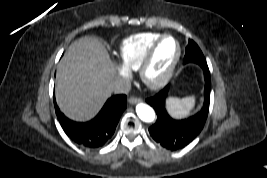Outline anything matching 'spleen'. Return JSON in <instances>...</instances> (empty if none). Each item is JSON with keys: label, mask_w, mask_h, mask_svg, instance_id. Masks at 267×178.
Masks as SVG:
<instances>
[{"label": "spleen", "mask_w": 267, "mask_h": 178, "mask_svg": "<svg viewBox=\"0 0 267 178\" xmlns=\"http://www.w3.org/2000/svg\"><path fill=\"white\" fill-rule=\"evenodd\" d=\"M195 105V97L189 96L182 99L169 98L167 100V107L170 114L176 118H183L190 114Z\"/></svg>", "instance_id": "obj_1"}]
</instances>
